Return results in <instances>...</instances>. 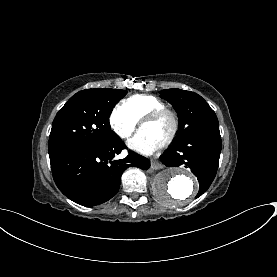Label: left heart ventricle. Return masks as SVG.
I'll list each match as a JSON object with an SVG mask.
<instances>
[{
	"mask_svg": "<svg viewBox=\"0 0 277 277\" xmlns=\"http://www.w3.org/2000/svg\"><path fill=\"white\" fill-rule=\"evenodd\" d=\"M171 127V120L168 117H163L159 120L143 125L141 130H144L151 137L161 142L169 134Z\"/></svg>",
	"mask_w": 277,
	"mask_h": 277,
	"instance_id": "b2bd125f",
	"label": "left heart ventricle"
}]
</instances>
